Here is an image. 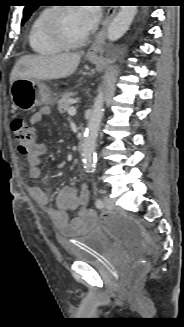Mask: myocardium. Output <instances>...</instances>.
I'll return each instance as SVG.
<instances>
[{"mask_svg": "<svg viewBox=\"0 0 184 327\" xmlns=\"http://www.w3.org/2000/svg\"><path fill=\"white\" fill-rule=\"evenodd\" d=\"M75 9L69 6H58L50 9L46 21L45 29L48 35L60 46L64 48H77L83 46L90 38V32L78 40L69 39L61 28L60 17L63 12Z\"/></svg>", "mask_w": 184, "mask_h": 327, "instance_id": "1", "label": "myocardium"}]
</instances>
